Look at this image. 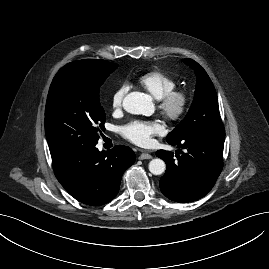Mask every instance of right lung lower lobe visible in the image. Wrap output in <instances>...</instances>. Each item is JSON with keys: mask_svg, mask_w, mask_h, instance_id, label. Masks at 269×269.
Returning <instances> with one entry per match:
<instances>
[{"mask_svg": "<svg viewBox=\"0 0 269 269\" xmlns=\"http://www.w3.org/2000/svg\"><path fill=\"white\" fill-rule=\"evenodd\" d=\"M95 145L52 159L56 178L80 202L100 206L114 199L123 173L135 161L131 148L100 152Z\"/></svg>", "mask_w": 269, "mask_h": 269, "instance_id": "1", "label": "right lung lower lobe"}]
</instances>
